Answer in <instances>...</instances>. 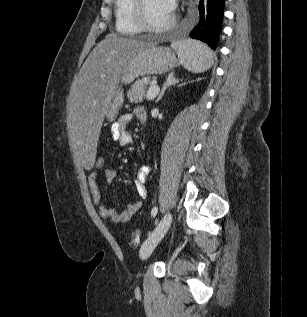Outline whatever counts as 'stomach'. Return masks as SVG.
<instances>
[{"label": "stomach", "mask_w": 307, "mask_h": 317, "mask_svg": "<svg viewBox=\"0 0 307 317\" xmlns=\"http://www.w3.org/2000/svg\"><path fill=\"white\" fill-rule=\"evenodd\" d=\"M178 63L174 52L162 46H149L133 54L125 63L119 83L129 84L136 78L151 74H163ZM124 100L123 90L118 86L109 102L106 117L115 120Z\"/></svg>", "instance_id": "stomach-1"}]
</instances>
